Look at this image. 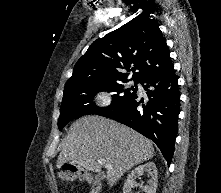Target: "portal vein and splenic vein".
<instances>
[{"label":"portal vein and splenic vein","instance_id":"portal-vein-and-splenic-vein-1","mask_svg":"<svg viewBox=\"0 0 221 193\" xmlns=\"http://www.w3.org/2000/svg\"><path fill=\"white\" fill-rule=\"evenodd\" d=\"M98 163L101 164V165H104L105 168L108 169V170H111V169H112V166L106 164L105 160H98Z\"/></svg>","mask_w":221,"mask_h":193}]
</instances>
